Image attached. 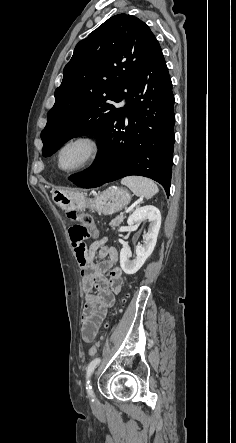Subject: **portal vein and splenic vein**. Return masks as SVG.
I'll return each instance as SVG.
<instances>
[{
  "label": "portal vein and splenic vein",
  "mask_w": 236,
  "mask_h": 443,
  "mask_svg": "<svg viewBox=\"0 0 236 443\" xmlns=\"http://www.w3.org/2000/svg\"><path fill=\"white\" fill-rule=\"evenodd\" d=\"M139 203V201L138 202H136V203H134V205H132V206H130L127 210H126V213H128V212H130V211H132L133 210V208H134V206H137V204Z\"/></svg>",
  "instance_id": "1"
}]
</instances>
